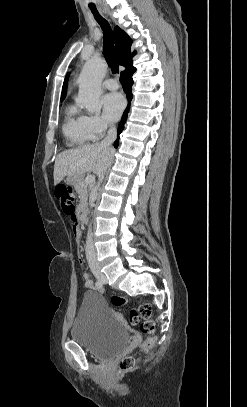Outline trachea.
Masks as SVG:
<instances>
[{"label":"trachea","instance_id":"trachea-1","mask_svg":"<svg viewBox=\"0 0 247 407\" xmlns=\"http://www.w3.org/2000/svg\"><path fill=\"white\" fill-rule=\"evenodd\" d=\"M89 8L93 13L94 18L99 23L104 32V41H103L104 56L112 72L116 74L119 69V64L117 61V51L113 43L112 29L109 23L99 14L95 6H89Z\"/></svg>","mask_w":247,"mask_h":407}]
</instances>
